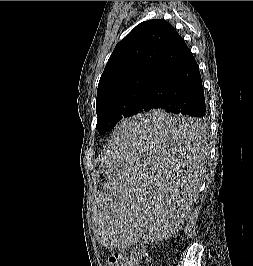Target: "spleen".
Returning <instances> with one entry per match:
<instances>
[{
    "mask_svg": "<svg viewBox=\"0 0 253 266\" xmlns=\"http://www.w3.org/2000/svg\"><path fill=\"white\" fill-rule=\"evenodd\" d=\"M203 124L180 111H145L120 123L102 168L109 189L94 207L97 243L102 248H160L183 229L202 174Z\"/></svg>",
    "mask_w": 253,
    "mask_h": 266,
    "instance_id": "obj_1",
    "label": "spleen"
}]
</instances>
